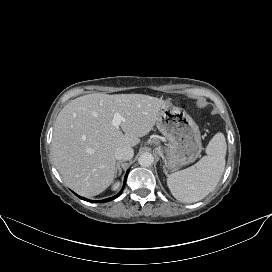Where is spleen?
Wrapping results in <instances>:
<instances>
[{"label":"spleen","instance_id":"1","mask_svg":"<svg viewBox=\"0 0 272 272\" xmlns=\"http://www.w3.org/2000/svg\"><path fill=\"white\" fill-rule=\"evenodd\" d=\"M227 145L219 132L207 145V156L195 165L171 174L167 185L172 195L181 202H197L215 189L225 169Z\"/></svg>","mask_w":272,"mask_h":272}]
</instances>
